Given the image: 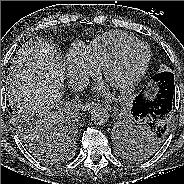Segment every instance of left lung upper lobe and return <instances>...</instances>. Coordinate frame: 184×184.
<instances>
[{
  "instance_id": "obj_1",
  "label": "left lung upper lobe",
  "mask_w": 184,
  "mask_h": 184,
  "mask_svg": "<svg viewBox=\"0 0 184 184\" xmlns=\"http://www.w3.org/2000/svg\"><path fill=\"white\" fill-rule=\"evenodd\" d=\"M117 132L121 139V150L126 156L145 158L154 154L165 141L168 132L159 135L146 122L130 113L117 123Z\"/></svg>"
}]
</instances>
